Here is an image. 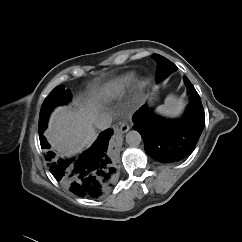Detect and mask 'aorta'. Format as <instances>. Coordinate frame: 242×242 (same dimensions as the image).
<instances>
[{
    "instance_id": "762f6f07",
    "label": "aorta",
    "mask_w": 242,
    "mask_h": 242,
    "mask_svg": "<svg viewBox=\"0 0 242 242\" xmlns=\"http://www.w3.org/2000/svg\"><path fill=\"white\" fill-rule=\"evenodd\" d=\"M142 137L136 130H131L126 134V142L131 147H137L140 145Z\"/></svg>"
}]
</instances>
